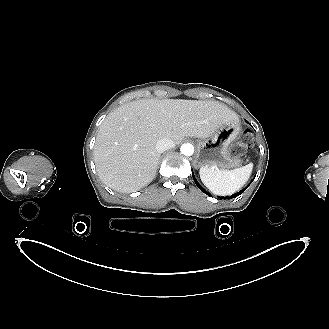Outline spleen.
I'll list each match as a JSON object with an SVG mask.
<instances>
[{"label": "spleen", "instance_id": "spleen-1", "mask_svg": "<svg viewBox=\"0 0 329 329\" xmlns=\"http://www.w3.org/2000/svg\"><path fill=\"white\" fill-rule=\"evenodd\" d=\"M253 170V163L233 170L202 167L199 171L203 184L216 195H231L242 188Z\"/></svg>", "mask_w": 329, "mask_h": 329}]
</instances>
